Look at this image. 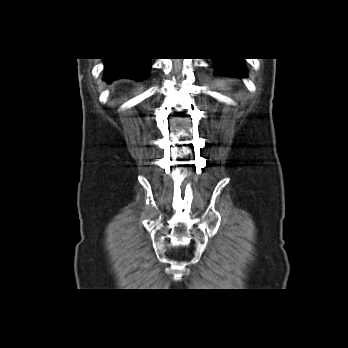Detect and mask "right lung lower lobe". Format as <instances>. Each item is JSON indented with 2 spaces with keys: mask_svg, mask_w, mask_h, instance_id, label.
Wrapping results in <instances>:
<instances>
[{
  "mask_svg": "<svg viewBox=\"0 0 348 348\" xmlns=\"http://www.w3.org/2000/svg\"><path fill=\"white\" fill-rule=\"evenodd\" d=\"M150 71L149 58L105 59L104 78L107 82L112 79L129 77L143 80Z\"/></svg>",
  "mask_w": 348,
  "mask_h": 348,
  "instance_id": "1",
  "label": "right lung lower lobe"
}]
</instances>
